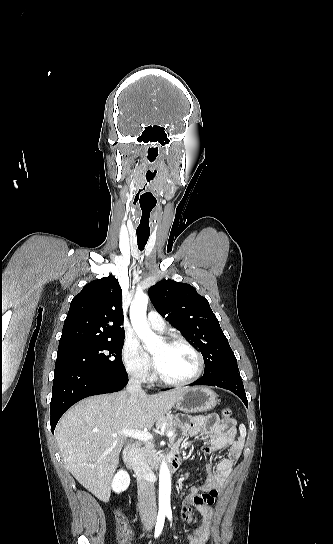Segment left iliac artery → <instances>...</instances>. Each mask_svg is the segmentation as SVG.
<instances>
[{"mask_svg":"<svg viewBox=\"0 0 333 544\" xmlns=\"http://www.w3.org/2000/svg\"><path fill=\"white\" fill-rule=\"evenodd\" d=\"M166 515H167L168 519H169L170 521H172V512H171V510H168V511L166 512Z\"/></svg>","mask_w":333,"mask_h":544,"instance_id":"obj_1","label":"left iliac artery"}]
</instances>
